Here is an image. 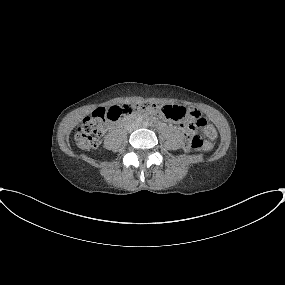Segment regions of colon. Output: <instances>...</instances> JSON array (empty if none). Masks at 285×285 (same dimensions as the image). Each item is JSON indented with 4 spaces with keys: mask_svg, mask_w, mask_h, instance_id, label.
Here are the masks:
<instances>
[{
    "mask_svg": "<svg viewBox=\"0 0 285 285\" xmlns=\"http://www.w3.org/2000/svg\"><path fill=\"white\" fill-rule=\"evenodd\" d=\"M146 110L153 113H160L171 121H181L185 119L188 123L195 122L197 127H204V132L209 138L216 136L213 126L207 125L197 110L184 108L179 105H158L154 102H137L132 104L116 105L109 109L104 107L96 108L76 131V142L80 148L89 150L95 148L110 123H114L129 117L133 112ZM185 147L194 150H207L211 144L201 135L192 132L187 126L184 136Z\"/></svg>",
    "mask_w": 285,
    "mask_h": 285,
    "instance_id": "colon-1",
    "label": "colon"
}]
</instances>
